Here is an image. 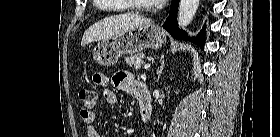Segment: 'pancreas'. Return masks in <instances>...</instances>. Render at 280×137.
<instances>
[{
    "instance_id": "1",
    "label": "pancreas",
    "mask_w": 280,
    "mask_h": 137,
    "mask_svg": "<svg viewBox=\"0 0 280 137\" xmlns=\"http://www.w3.org/2000/svg\"><path fill=\"white\" fill-rule=\"evenodd\" d=\"M144 58V54L137 53L135 55H132L128 58H126V63L132 68L133 70L141 69L143 65L142 59Z\"/></svg>"
}]
</instances>
